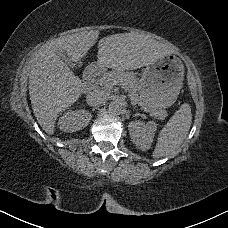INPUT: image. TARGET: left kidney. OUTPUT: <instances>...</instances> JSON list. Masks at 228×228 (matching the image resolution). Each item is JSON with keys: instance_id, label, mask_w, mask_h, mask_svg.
Masks as SVG:
<instances>
[{"instance_id": "5707ae66", "label": "left kidney", "mask_w": 228, "mask_h": 228, "mask_svg": "<svg viewBox=\"0 0 228 228\" xmlns=\"http://www.w3.org/2000/svg\"><path fill=\"white\" fill-rule=\"evenodd\" d=\"M131 141L142 151H146L151 148L155 131L157 130V124L154 121L136 120L131 121L128 125Z\"/></svg>"}]
</instances>
